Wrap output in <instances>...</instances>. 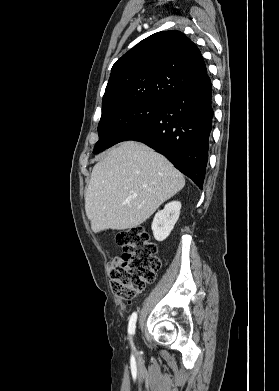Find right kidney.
I'll list each match as a JSON object with an SVG mask.
<instances>
[{
	"instance_id": "right-kidney-1",
	"label": "right kidney",
	"mask_w": 279,
	"mask_h": 391,
	"mask_svg": "<svg viewBox=\"0 0 279 391\" xmlns=\"http://www.w3.org/2000/svg\"><path fill=\"white\" fill-rule=\"evenodd\" d=\"M180 209L181 203L172 201L156 213L152 222V231L157 241H163L169 236L179 218Z\"/></svg>"
}]
</instances>
